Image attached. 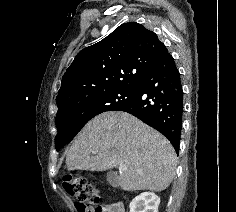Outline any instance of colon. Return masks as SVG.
<instances>
[{"label": "colon", "mask_w": 236, "mask_h": 212, "mask_svg": "<svg viewBox=\"0 0 236 212\" xmlns=\"http://www.w3.org/2000/svg\"><path fill=\"white\" fill-rule=\"evenodd\" d=\"M63 186L76 199L80 212H104L98 189L86 177L68 175L63 179Z\"/></svg>", "instance_id": "1"}]
</instances>
